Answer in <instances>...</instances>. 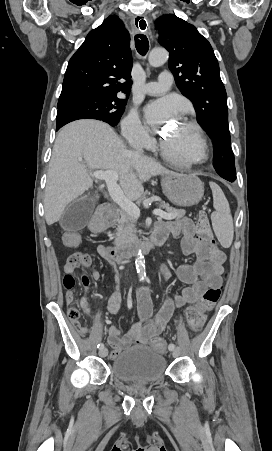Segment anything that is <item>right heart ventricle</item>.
<instances>
[{
  "label": "right heart ventricle",
  "instance_id": "right-heart-ventricle-1",
  "mask_svg": "<svg viewBox=\"0 0 272 451\" xmlns=\"http://www.w3.org/2000/svg\"><path fill=\"white\" fill-rule=\"evenodd\" d=\"M169 100L171 101V102H173L174 104H175V99L174 98H169Z\"/></svg>",
  "mask_w": 272,
  "mask_h": 451
}]
</instances>
